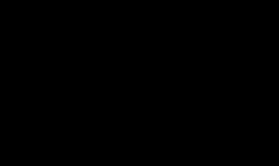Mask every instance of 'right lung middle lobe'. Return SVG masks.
Wrapping results in <instances>:
<instances>
[{"mask_svg":"<svg viewBox=\"0 0 279 166\" xmlns=\"http://www.w3.org/2000/svg\"><path fill=\"white\" fill-rule=\"evenodd\" d=\"M116 20H128V17H121V18H119V19H116ZM67 28V27H66ZM65 28V29H66Z\"/></svg>","mask_w":279,"mask_h":166,"instance_id":"1","label":"right lung middle lobe"}]
</instances>
